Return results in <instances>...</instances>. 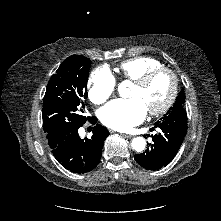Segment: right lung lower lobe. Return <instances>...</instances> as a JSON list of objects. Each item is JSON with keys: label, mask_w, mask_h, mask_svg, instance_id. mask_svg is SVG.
I'll use <instances>...</instances> for the list:
<instances>
[{"label": "right lung lower lobe", "mask_w": 221, "mask_h": 221, "mask_svg": "<svg viewBox=\"0 0 221 221\" xmlns=\"http://www.w3.org/2000/svg\"><path fill=\"white\" fill-rule=\"evenodd\" d=\"M89 121L95 124L97 119L91 117ZM78 128L52 138L48 144L54 157L64 168L74 173L83 174L98 165L109 131L104 126L97 124L93 128L91 138L81 139L78 135Z\"/></svg>", "instance_id": "obj_1"}]
</instances>
